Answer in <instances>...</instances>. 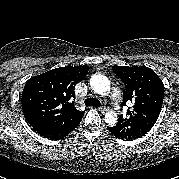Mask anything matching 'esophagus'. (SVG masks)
I'll return each mask as SVG.
<instances>
[{
    "mask_svg": "<svg viewBox=\"0 0 179 179\" xmlns=\"http://www.w3.org/2000/svg\"><path fill=\"white\" fill-rule=\"evenodd\" d=\"M98 110L101 112V113H104L106 111V108L104 106H101L98 108Z\"/></svg>",
    "mask_w": 179,
    "mask_h": 179,
    "instance_id": "1",
    "label": "esophagus"
}]
</instances>
